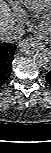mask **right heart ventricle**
<instances>
[{"label": "right heart ventricle", "instance_id": "right-heart-ventricle-1", "mask_svg": "<svg viewBox=\"0 0 51 153\" xmlns=\"http://www.w3.org/2000/svg\"><path fill=\"white\" fill-rule=\"evenodd\" d=\"M51 0H24V5L34 12H43L49 5Z\"/></svg>", "mask_w": 51, "mask_h": 153}]
</instances>
